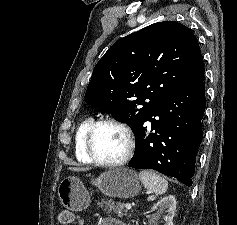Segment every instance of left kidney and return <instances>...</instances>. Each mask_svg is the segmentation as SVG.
Listing matches in <instances>:
<instances>
[{
	"label": "left kidney",
	"mask_w": 237,
	"mask_h": 225,
	"mask_svg": "<svg viewBox=\"0 0 237 225\" xmlns=\"http://www.w3.org/2000/svg\"><path fill=\"white\" fill-rule=\"evenodd\" d=\"M160 212L167 210V215L164 216L165 225H173V217L176 209V198L173 195L166 196L157 202L153 209H158Z\"/></svg>",
	"instance_id": "1"
}]
</instances>
